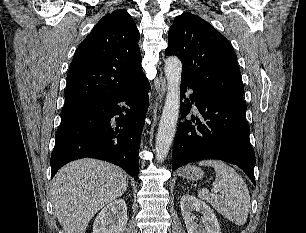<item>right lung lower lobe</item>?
Returning <instances> with one entry per match:
<instances>
[{
    "instance_id": "obj_1",
    "label": "right lung lower lobe",
    "mask_w": 306,
    "mask_h": 233,
    "mask_svg": "<svg viewBox=\"0 0 306 233\" xmlns=\"http://www.w3.org/2000/svg\"><path fill=\"white\" fill-rule=\"evenodd\" d=\"M149 89L142 74L114 98L61 113L50 160L51 178L68 162L90 157L116 164L137 180Z\"/></svg>"
}]
</instances>
